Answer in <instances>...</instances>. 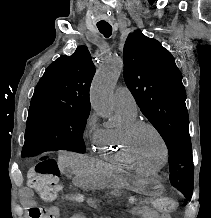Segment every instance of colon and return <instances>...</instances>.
I'll list each match as a JSON object with an SVG mask.
<instances>
[{"instance_id":"obj_1","label":"colon","mask_w":211,"mask_h":218,"mask_svg":"<svg viewBox=\"0 0 211 218\" xmlns=\"http://www.w3.org/2000/svg\"><path fill=\"white\" fill-rule=\"evenodd\" d=\"M59 168L54 159L47 155L41 156L38 162L29 170L28 185L34 189L41 199L45 201H56L61 197L62 186L59 183ZM80 199V196H75ZM160 212L168 213L175 208V202L170 198H156L147 203ZM43 214L39 207H32L29 210L31 218H41Z\"/></svg>"}]
</instances>
